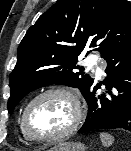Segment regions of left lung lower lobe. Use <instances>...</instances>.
Segmentation results:
<instances>
[{"label":"left lung lower lobe","instance_id":"obj_1","mask_svg":"<svg viewBox=\"0 0 131 151\" xmlns=\"http://www.w3.org/2000/svg\"><path fill=\"white\" fill-rule=\"evenodd\" d=\"M108 77L93 82L85 99L88 114L78 133L94 129H117L131 132V40L105 57ZM105 85V92L96 91Z\"/></svg>","mask_w":131,"mask_h":151}]
</instances>
